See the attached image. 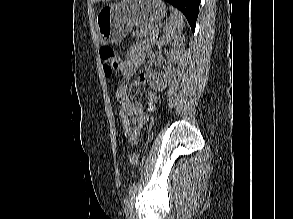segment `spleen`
<instances>
[{"label":"spleen","instance_id":"1","mask_svg":"<svg viewBox=\"0 0 293 219\" xmlns=\"http://www.w3.org/2000/svg\"><path fill=\"white\" fill-rule=\"evenodd\" d=\"M184 16L175 8L170 7V17L165 23L163 31L167 35L176 36L184 28Z\"/></svg>","mask_w":293,"mask_h":219}]
</instances>
